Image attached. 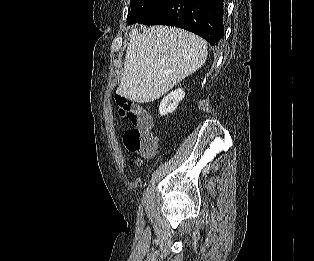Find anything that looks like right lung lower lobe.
<instances>
[{
  "label": "right lung lower lobe",
  "instance_id": "right-lung-lower-lobe-1",
  "mask_svg": "<svg viewBox=\"0 0 314 261\" xmlns=\"http://www.w3.org/2000/svg\"><path fill=\"white\" fill-rule=\"evenodd\" d=\"M223 1L168 0L138 23L183 28L217 45L224 35Z\"/></svg>",
  "mask_w": 314,
  "mask_h": 261
}]
</instances>
